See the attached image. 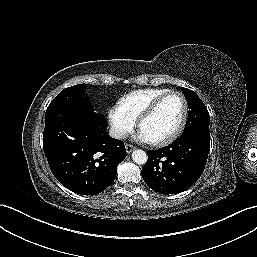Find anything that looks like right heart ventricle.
Wrapping results in <instances>:
<instances>
[{
  "label": "right heart ventricle",
  "instance_id": "right-heart-ventricle-1",
  "mask_svg": "<svg viewBox=\"0 0 257 257\" xmlns=\"http://www.w3.org/2000/svg\"><path fill=\"white\" fill-rule=\"evenodd\" d=\"M169 91L171 90L167 88L138 89L124 95L119 103L134 120H137L154 100Z\"/></svg>",
  "mask_w": 257,
  "mask_h": 257
}]
</instances>
